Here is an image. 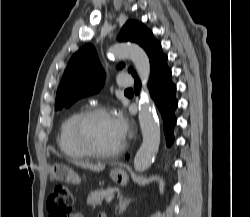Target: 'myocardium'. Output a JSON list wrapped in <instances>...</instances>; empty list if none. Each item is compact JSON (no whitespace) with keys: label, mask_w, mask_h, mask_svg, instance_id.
Instances as JSON below:
<instances>
[{"label":"myocardium","mask_w":250,"mask_h":217,"mask_svg":"<svg viewBox=\"0 0 250 217\" xmlns=\"http://www.w3.org/2000/svg\"><path fill=\"white\" fill-rule=\"evenodd\" d=\"M110 114V111L105 106H92L82 111L77 117L73 126V135L77 145L88 155L98 158H109L119 155L125 148V142L112 150L97 149L89 140L86 133V125L88 121L97 115Z\"/></svg>","instance_id":"1"}]
</instances>
